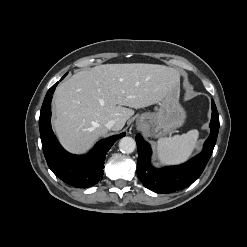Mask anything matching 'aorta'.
<instances>
[{
    "label": "aorta",
    "instance_id": "obj_1",
    "mask_svg": "<svg viewBox=\"0 0 247 247\" xmlns=\"http://www.w3.org/2000/svg\"><path fill=\"white\" fill-rule=\"evenodd\" d=\"M136 148V142L132 137H123L119 142V149L122 153H132Z\"/></svg>",
    "mask_w": 247,
    "mask_h": 247
}]
</instances>
